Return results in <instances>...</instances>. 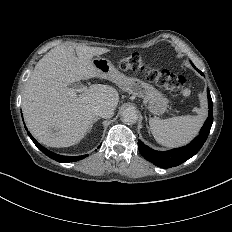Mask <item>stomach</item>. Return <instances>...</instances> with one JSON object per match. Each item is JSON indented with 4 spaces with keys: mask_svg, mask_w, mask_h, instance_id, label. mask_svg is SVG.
Returning a JSON list of instances; mask_svg holds the SVG:
<instances>
[{
    "mask_svg": "<svg viewBox=\"0 0 232 232\" xmlns=\"http://www.w3.org/2000/svg\"><path fill=\"white\" fill-rule=\"evenodd\" d=\"M100 77L115 83L120 89L134 97L142 98L148 110L154 115L167 111V98L152 85L132 76H127L115 68L114 64L104 57L93 59Z\"/></svg>",
    "mask_w": 232,
    "mask_h": 232,
    "instance_id": "1",
    "label": "stomach"
}]
</instances>
